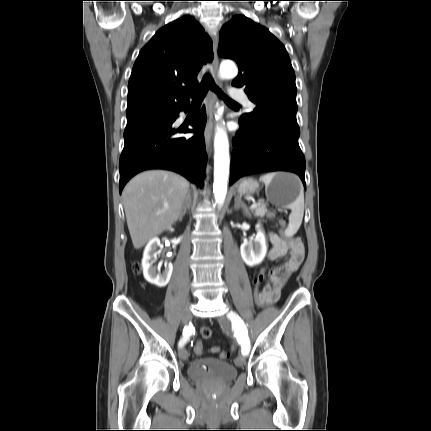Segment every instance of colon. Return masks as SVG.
<instances>
[{
	"label": "colon",
	"mask_w": 431,
	"mask_h": 431,
	"mask_svg": "<svg viewBox=\"0 0 431 431\" xmlns=\"http://www.w3.org/2000/svg\"><path fill=\"white\" fill-rule=\"evenodd\" d=\"M270 216L271 217H275L276 214L274 212H271ZM277 226H278V228L280 230V237H284V235H285V228H286V221H285V219L282 218V217L277 218ZM134 270L137 273L140 272V266L138 264H136L134 266ZM260 270H261V272L258 273L257 276L253 277V286H252L253 290L251 292V300L254 302V306L257 307L258 312L262 311V308L259 306L258 301H260V299H261V296H260L261 291H262L261 284L264 283V279L266 278V275L264 274V272H266L267 269H266V267L263 266V267H261ZM200 334H201V337L203 339H208V338H210L212 336V330L209 327L205 326V327L201 328ZM193 341L195 343L194 344L195 354L198 357H201V354L203 353V345L201 344L202 340H201V338H199V337L197 338L196 337V338H194ZM227 356H228V354L226 352H222L220 354V357L222 359L227 358Z\"/></svg>",
	"instance_id": "colon-1"
}]
</instances>
